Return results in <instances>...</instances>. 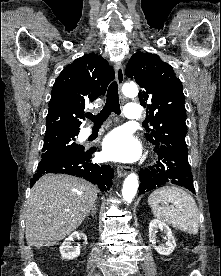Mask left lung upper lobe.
Instances as JSON below:
<instances>
[{
	"instance_id": "left-lung-upper-lobe-1",
	"label": "left lung upper lobe",
	"mask_w": 221,
	"mask_h": 276,
	"mask_svg": "<svg viewBox=\"0 0 221 276\" xmlns=\"http://www.w3.org/2000/svg\"><path fill=\"white\" fill-rule=\"evenodd\" d=\"M126 75L141 87L140 104L147 107V120L153 129L147 140L156 147L186 150V109L181 81L173 68L156 54L135 53Z\"/></svg>"
}]
</instances>
